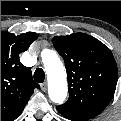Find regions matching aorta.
Returning a JSON list of instances; mask_svg holds the SVG:
<instances>
[{"label":"aorta","instance_id":"1","mask_svg":"<svg viewBox=\"0 0 121 121\" xmlns=\"http://www.w3.org/2000/svg\"><path fill=\"white\" fill-rule=\"evenodd\" d=\"M42 61L48 77V94L56 104H62L67 96V81L65 68L58 55L53 50H44Z\"/></svg>","mask_w":121,"mask_h":121}]
</instances>
